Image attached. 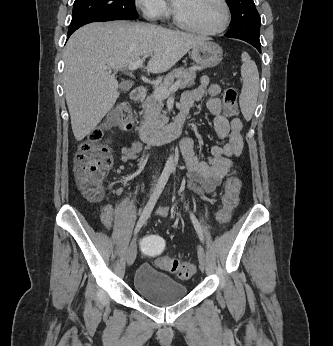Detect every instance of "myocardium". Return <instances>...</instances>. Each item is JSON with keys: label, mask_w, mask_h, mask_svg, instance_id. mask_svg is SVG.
Segmentation results:
<instances>
[{"label": "myocardium", "mask_w": 333, "mask_h": 346, "mask_svg": "<svg viewBox=\"0 0 333 346\" xmlns=\"http://www.w3.org/2000/svg\"><path fill=\"white\" fill-rule=\"evenodd\" d=\"M219 2L223 7L224 17H223V21L220 24V26H218L215 29L205 30V29H201V28H198V27L190 24L189 22L185 21L179 15V13L175 7L173 8L174 21L179 27H181L185 30L200 34V35H205V36L218 35V34L224 32L228 28L230 21H231V9H230V6H229L227 0H219Z\"/></svg>", "instance_id": "myocardium-1"}]
</instances>
